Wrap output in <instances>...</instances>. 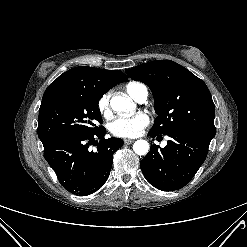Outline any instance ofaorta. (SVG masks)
Instances as JSON below:
<instances>
[{
  "label": "aorta",
  "mask_w": 247,
  "mask_h": 247,
  "mask_svg": "<svg viewBox=\"0 0 247 247\" xmlns=\"http://www.w3.org/2000/svg\"><path fill=\"white\" fill-rule=\"evenodd\" d=\"M111 108L118 112H132L135 109L133 101L126 96L117 95L110 100ZM149 143L146 140H137L133 145V150L137 155H146L149 151Z\"/></svg>",
  "instance_id": "obj_1"
}]
</instances>
